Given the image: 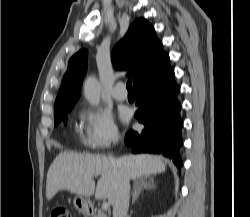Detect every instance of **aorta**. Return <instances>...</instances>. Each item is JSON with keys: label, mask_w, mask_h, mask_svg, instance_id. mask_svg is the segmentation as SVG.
<instances>
[{"label": "aorta", "mask_w": 250, "mask_h": 217, "mask_svg": "<svg viewBox=\"0 0 250 217\" xmlns=\"http://www.w3.org/2000/svg\"><path fill=\"white\" fill-rule=\"evenodd\" d=\"M101 85L94 76L86 78L84 83V96L87 101L93 105L98 106L100 103Z\"/></svg>", "instance_id": "aorta-1"}]
</instances>
